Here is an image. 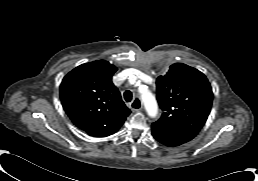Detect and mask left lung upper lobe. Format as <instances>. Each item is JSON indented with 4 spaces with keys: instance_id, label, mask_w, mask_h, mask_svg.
<instances>
[{
    "instance_id": "obj_1",
    "label": "left lung upper lobe",
    "mask_w": 258,
    "mask_h": 181,
    "mask_svg": "<svg viewBox=\"0 0 258 181\" xmlns=\"http://www.w3.org/2000/svg\"><path fill=\"white\" fill-rule=\"evenodd\" d=\"M156 85L163 113L153 125L194 138L206 122L213 100L205 75L175 63L165 76L157 78Z\"/></svg>"
}]
</instances>
